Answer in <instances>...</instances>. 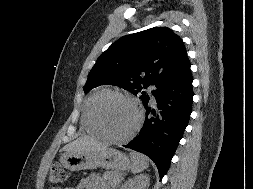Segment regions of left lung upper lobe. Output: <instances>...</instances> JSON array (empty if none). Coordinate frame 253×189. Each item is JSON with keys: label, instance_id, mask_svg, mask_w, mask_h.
<instances>
[{"label": "left lung upper lobe", "instance_id": "obj_1", "mask_svg": "<svg viewBox=\"0 0 253 189\" xmlns=\"http://www.w3.org/2000/svg\"><path fill=\"white\" fill-rule=\"evenodd\" d=\"M186 58L181 38L168 27H154L127 35L98 58L84 90L115 85L134 95L141 93L140 99L145 105L150 97L141 90L154 85V94L178 72Z\"/></svg>", "mask_w": 253, "mask_h": 189}]
</instances>
